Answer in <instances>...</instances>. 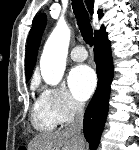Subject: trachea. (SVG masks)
I'll use <instances>...</instances> for the list:
<instances>
[{
  "mask_svg": "<svg viewBox=\"0 0 139 150\" xmlns=\"http://www.w3.org/2000/svg\"><path fill=\"white\" fill-rule=\"evenodd\" d=\"M73 11L84 41L93 45V29L83 0H72Z\"/></svg>",
  "mask_w": 139,
  "mask_h": 150,
  "instance_id": "1",
  "label": "trachea"
}]
</instances>
